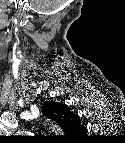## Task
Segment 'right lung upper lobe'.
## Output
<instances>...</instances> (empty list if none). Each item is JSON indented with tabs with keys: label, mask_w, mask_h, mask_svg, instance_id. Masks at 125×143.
Masks as SVG:
<instances>
[{
	"label": "right lung upper lobe",
	"mask_w": 125,
	"mask_h": 143,
	"mask_svg": "<svg viewBox=\"0 0 125 143\" xmlns=\"http://www.w3.org/2000/svg\"><path fill=\"white\" fill-rule=\"evenodd\" d=\"M43 113L55 120L67 136L83 135L87 132L80 123V117L73 114L68 106L53 101L44 102Z\"/></svg>",
	"instance_id": "cb5924a9"
}]
</instances>
